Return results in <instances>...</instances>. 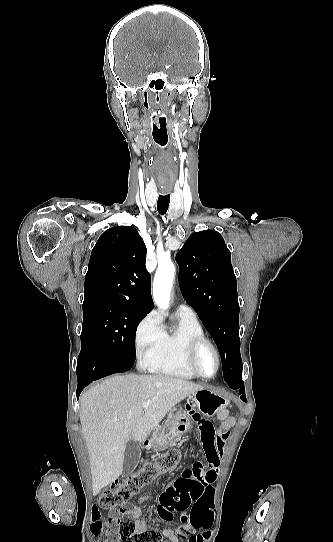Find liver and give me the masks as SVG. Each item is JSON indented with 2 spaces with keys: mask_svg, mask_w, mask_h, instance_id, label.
Returning a JSON list of instances; mask_svg holds the SVG:
<instances>
[{
  "mask_svg": "<svg viewBox=\"0 0 333 542\" xmlns=\"http://www.w3.org/2000/svg\"><path fill=\"white\" fill-rule=\"evenodd\" d=\"M198 390L205 388L184 378L129 374L111 376L84 392L79 416L88 448L93 496L122 474L128 442L146 440L169 410ZM144 402H150L147 410Z\"/></svg>",
  "mask_w": 333,
  "mask_h": 542,
  "instance_id": "obj_1",
  "label": "liver"
}]
</instances>
